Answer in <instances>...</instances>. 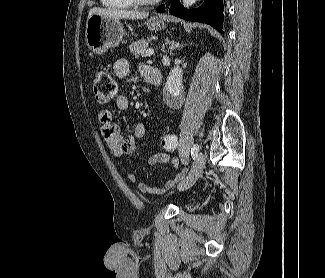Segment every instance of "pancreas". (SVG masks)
Here are the masks:
<instances>
[{"instance_id":"cf45deb5","label":"pancreas","mask_w":325,"mask_h":278,"mask_svg":"<svg viewBox=\"0 0 325 278\" xmlns=\"http://www.w3.org/2000/svg\"><path fill=\"white\" fill-rule=\"evenodd\" d=\"M150 41H151V39H149V38L141 39L139 41L133 42L129 46V49L133 53L135 58L146 56V51L148 50Z\"/></svg>"}]
</instances>
